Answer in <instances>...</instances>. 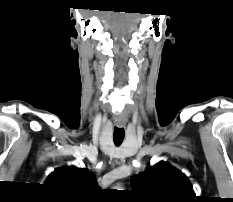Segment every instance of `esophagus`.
<instances>
[{"instance_id": "obj_1", "label": "esophagus", "mask_w": 233, "mask_h": 202, "mask_svg": "<svg viewBox=\"0 0 233 202\" xmlns=\"http://www.w3.org/2000/svg\"><path fill=\"white\" fill-rule=\"evenodd\" d=\"M117 126H118V127H122L123 125H122V124H118Z\"/></svg>"}]
</instances>
